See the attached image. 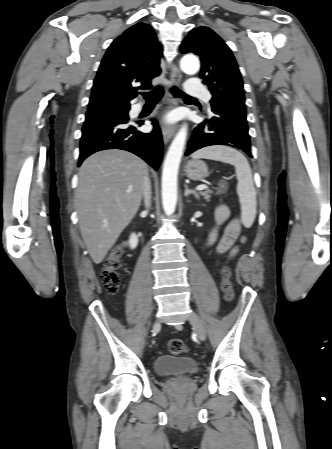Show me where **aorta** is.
Segmentation results:
<instances>
[{
  "label": "aorta",
  "mask_w": 332,
  "mask_h": 449,
  "mask_svg": "<svg viewBox=\"0 0 332 449\" xmlns=\"http://www.w3.org/2000/svg\"><path fill=\"white\" fill-rule=\"evenodd\" d=\"M181 69L193 75L199 71L200 63L197 57L186 55L180 61ZM187 138V125H183L172 141L162 171V206L167 215L174 213L177 204V176L180 161Z\"/></svg>",
  "instance_id": "762f6f07"
}]
</instances>
